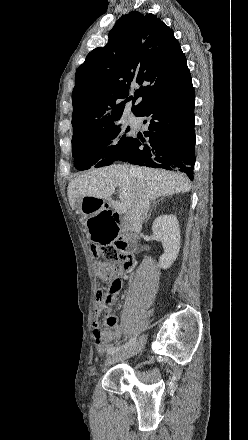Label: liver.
<instances>
[{
	"mask_svg": "<svg viewBox=\"0 0 248 440\" xmlns=\"http://www.w3.org/2000/svg\"><path fill=\"white\" fill-rule=\"evenodd\" d=\"M130 168L127 165L115 164L92 169L71 180L67 190L71 208L75 210L77 201L83 197L108 199L116 187H119V199L126 210L133 206L141 184L151 200L190 190L189 182L182 174L163 169L135 167L139 175L133 176Z\"/></svg>",
	"mask_w": 248,
	"mask_h": 440,
	"instance_id": "obj_1",
	"label": "liver"
}]
</instances>
